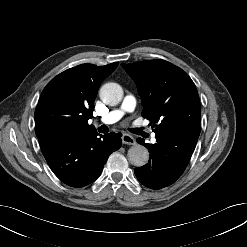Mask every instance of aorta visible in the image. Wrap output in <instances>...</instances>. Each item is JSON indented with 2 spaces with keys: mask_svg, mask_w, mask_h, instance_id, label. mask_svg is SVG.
<instances>
[{
  "mask_svg": "<svg viewBox=\"0 0 247 247\" xmlns=\"http://www.w3.org/2000/svg\"><path fill=\"white\" fill-rule=\"evenodd\" d=\"M100 99L108 105H117L123 98L122 87L114 82L104 84L99 92ZM129 162L136 166H144L149 160V152L146 147L135 144L129 148L128 153Z\"/></svg>",
  "mask_w": 247,
  "mask_h": 247,
  "instance_id": "1",
  "label": "aorta"
}]
</instances>
